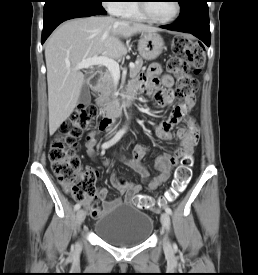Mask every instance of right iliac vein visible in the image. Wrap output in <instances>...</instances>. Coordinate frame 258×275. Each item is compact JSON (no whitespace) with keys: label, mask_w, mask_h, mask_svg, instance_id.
Segmentation results:
<instances>
[{"label":"right iliac vein","mask_w":258,"mask_h":275,"mask_svg":"<svg viewBox=\"0 0 258 275\" xmlns=\"http://www.w3.org/2000/svg\"><path fill=\"white\" fill-rule=\"evenodd\" d=\"M85 217L86 212L83 209H80L76 214L78 224H81L85 220Z\"/></svg>","instance_id":"obj_1"}]
</instances>
